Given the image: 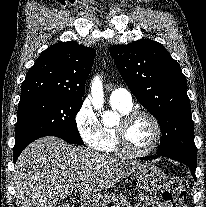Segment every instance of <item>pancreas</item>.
I'll return each instance as SVG.
<instances>
[{
	"mask_svg": "<svg viewBox=\"0 0 206 207\" xmlns=\"http://www.w3.org/2000/svg\"><path fill=\"white\" fill-rule=\"evenodd\" d=\"M129 205L130 203L128 200L121 194H110L109 196H105L101 203V207H125Z\"/></svg>",
	"mask_w": 206,
	"mask_h": 207,
	"instance_id": "cf45deb5",
	"label": "pancreas"
}]
</instances>
